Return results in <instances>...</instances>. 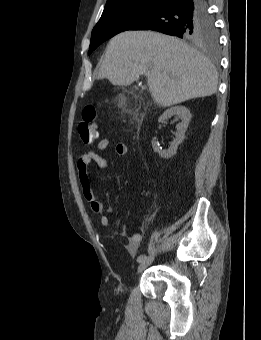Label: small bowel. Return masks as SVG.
<instances>
[{
    "label": "small bowel",
    "mask_w": 261,
    "mask_h": 340,
    "mask_svg": "<svg viewBox=\"0 0 261 340\" xmlns=\"http://www.w3.org/2000/svg\"><path fill=\"white\" fill-rule=\"evenodd\" d=\"M109 144H110L109 139L102 138L101 140L98 141L97 147L99 150H105L108 148ZM114 152L117 156H124L127 153V146L124 143H117L114 147ZM92 163H95L102 170H106L108 168L107 160L104 157L97 154L95 151L89 149L84 154H82L77 161L78 180L82 195L86 202L88 203L91 212H93L94 214H101L103 212V204L95 194L91 186L88 174V168ZM100 224L104 229L107 230L111 229L110 221L106 216L101 217ZM117 234L120 236H125L124 232H118ZM141 242L142 235L140 233L132 234L128 238L127 243L128 251L131 254L136 253Z\"/></svg>",
    "instance_id": "c3829d8e"
}]
</instances>
